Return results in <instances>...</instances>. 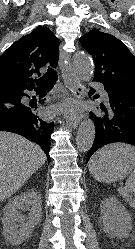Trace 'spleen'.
Returning a JSON list of instances; mask_svg holds the SVG:
<instances>
[{
  "mask_svg": "<svg viewBox=\"0 0 135 249\" xmlns=\"http://www.w3.org/2000/svg\"><path fill=\"white\" fill-rule=\"evenodd\" d=\"M110 155L120 156L129 159L135 163V147L126 144H112L99 150L90 160L89 166L103 157ZM119 194L129 202L130 206L135 209V169L127 179L125 186L119 188ZM130 194L134 195L131 198Z\"/></svg>",
  "mask_w": 135,
  "mask_h": 249,
  "instance_id": "3e777b00",
  "label": "spleen"
}]
</instances>
